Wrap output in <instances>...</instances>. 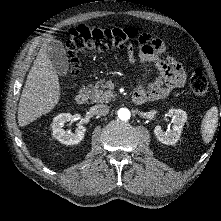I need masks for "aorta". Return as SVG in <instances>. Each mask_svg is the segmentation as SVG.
<instances>
[{
  "mask_svg": "<svg viewBox=\"0 0 221 221\" xmlns=\"http://www.w3.org/2000/svg\"><path fill=\"white\" fill-rule=\"evenodd\" d=\"M118 117L122 121H127L131 117V113L127 108H121L118 110Z\"/></svg>",
  "mask_w": 221,
  "mask_h": 221,
  "instance_id": "1",
  "label": "aorta"
}]
</instances>
